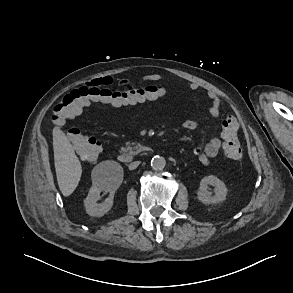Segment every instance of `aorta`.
Here are the masks:
<instances>
[{
    "label": "aorta",
    "instance_id": "obj_1",
    "mask_svg": "<svg viewBox=\"0 0 293 293\" xmlns=\"http://www.w3.org/2000/svg\"><path fill=\"white\" fill-rule=\"evenodd\" d=\"M165 164V159L162 156H154L151 160V167L155 171L163 170Z\"/></svg>",
    "mask_w": 293,
    "mask_h": 293
}]
</instances>
